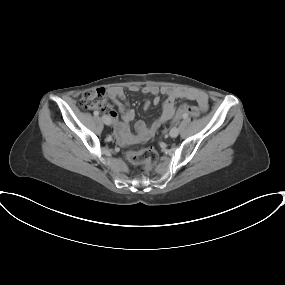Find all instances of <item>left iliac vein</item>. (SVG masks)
Returning a JSON list of instances; mask_svg holds the SVG:
<instances>
[{"label": "left iliac vein", "instance_id": "1", "mask_svg": "<svg viewBox=\"0 0 285 285\" xmlns=\"http://www.w3.org/2000/svg\"><path fill=\"white\" fill-rule=\"evenodd\" d=\"M179 134V129L177 127L171 128L169 135L173 138L177 137Z\"/></svg>", "mask_w": 285, "mask_h": 285}]
</instances>
